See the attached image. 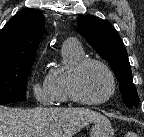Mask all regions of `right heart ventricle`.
<instances>
[{"mask_svg": "<svg viewBox=\"0 0 144 137\" xmlns=\"http://www.w3.org/2000/svg\"><path fill=\"white\" fill-rule=\"evenodd\" d=\"M61 56V65L52 68L48 73L56 103H66L70 100L68 75L70 70L84 58V51L77 41L68 40L62 46Z\"/></svg>", "mask_w": 144, "mask_h": 137, "instance_id": "1", "label": "right heart ventricle"}]
</instances>
